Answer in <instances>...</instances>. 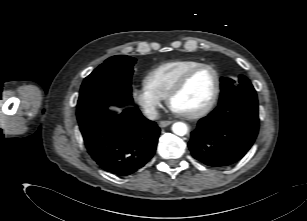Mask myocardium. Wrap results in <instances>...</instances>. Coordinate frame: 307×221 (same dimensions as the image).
Here are the masks:
<instances>
[{
	"mask_svg": "<svg viewBox=\"0 0 307 221\" xmlns=\"http://www.w3.org/2000/svg\"><path fill=\"white\" fill-rule=\"evenodd\" d=\"M202 69L211 70L214 74V77H215L214 92H213V95H212L211 99L209 100V102L203 108H201L200 110L193 112V113H190V114H184V113H180V112L173 110V108H172L173 99L186 87V85L188 84L189 80L193 77V75H195L198 71H200ZM220 89H221V77H220L218 70L210 64H200V65L190 69L189 71H187L176 82V84L169 91V93L166 97V101H167V104L170 107V109L175 114H177V115H179L183 118H186V119H198V118L205 116L206 114H208L213 109V107L215 106V104H216V102L219 98Z\"/></svg>",
	"mask_w": 307,
	"mask_h": 221,
	"instance_id": "obj_1",
	"label": "myocardium"
}]
</instances>
